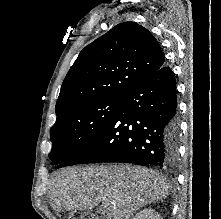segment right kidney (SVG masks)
Here are the masks:
<instances>
[{
	"instance_id": "ca27d5eb",
	"label": "right kidney",
	"mask_w": 221,
	"mask_h": 219,
	"mask_svg": "<svg viewBox=\"0 0 221 219\" xmlns=\"http://www.w3.org/2000/svg\"><path fill=\"white\" fill-rule=\"evenodd\" d=\"M132 219H163L160 214L151 208H145L137 213Z\"/></svg>"
}]
</instances>
